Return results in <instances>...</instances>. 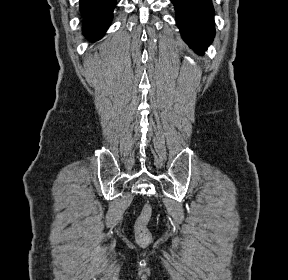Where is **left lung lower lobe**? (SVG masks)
I'll return each instance as SVG.
<instances>
[{"label":"left lung lower lobe","instance_id":"1","mask_svg":"<svg viewBox=\"0 0 288 280\" xmlns=\"http://www.w3.org/2000/svg\"><path fill=\"white\" fill-rule=\"evenodd\" d=\"M176 22L184 41L203 54L215 35L214 9L211 0H171Z\"/></svg>","mask_w":288,"mask_h":280}]
</instances>
